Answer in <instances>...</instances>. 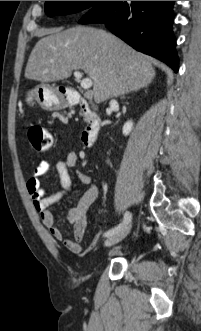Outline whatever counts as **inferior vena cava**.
<instances>
[{"label": "inferior vena cava", "mask_w": 201, "mask_h": 331, "mask_svg": "<svg viewBox=\"0 0 201 331\" xmlns=\"http://www.w3.org/2000/svg\"><path fill=\"white\" fill-rule=\"evenodd\" d=\"M113 103H115V101H114V100H112V101L110 102V104H113Z\"/></svg>", "instance_id": "inferior-vena-cava-1"}]
</instances>
